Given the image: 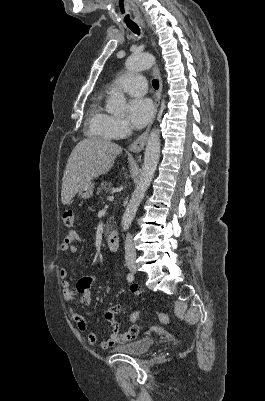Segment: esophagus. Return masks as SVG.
<instances>
[{"mask_svg": "<svg viewBox=\"0 0 265 401\" xmlns=\"http://www.w3.org/2000/svg\"><path fill=\"white\" fill-rule=\"evenodd\" d=\"M140 23H141V25L145 26V24L142 21ZM151 42H152L153 47H155L156 44H155L154 38H151ZM152 73L157 78V80L159 81V88L156 91V98H155V102H154V113H153L152 119L150 120V122H149V124L147 126V129L130 146V150L133 151L134 153H139L140 151L143 150V148L145 146V143H146V140H147V137H148V134H149V131H150V128L152 126L153 120H154V118H155V116L157 114L158 107H159V104H160V98H161V92H162V88H163V82H162V78H161V74H160L159 68L158 67H154L152 69Z\"/></svg>", "mask_w": 265, "mask_h": 401, "instance_id": "obj_1", "label": "esophagus"}]
</instances>
